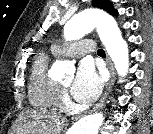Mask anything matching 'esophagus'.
<instances>
[{
    "label": "esophagus",
    "instance_id": "1",
    "mask_svg": "<svg viewBox=\"0 0 153 134\" xmlns=\"http://www.w3.org/2000/svg\"><path fill=\"white\" fill-rule=\"evenodd\" d=\"M107 66H108V69L110 71V78H109V81L106 85V88H105V91L101 97V99L99 100V102L91 109V112L92 111H96L98 110L99 108H101L103 105H104V102L108 96V94L111 92V89H112V86L114 84V77H115V72H114V67H113V64L110 60V58L107 56ZM77 118V117H76Z\"/></svg>",
    "mask_w": 153,
    "mask_h": 134
}]
</instances>
